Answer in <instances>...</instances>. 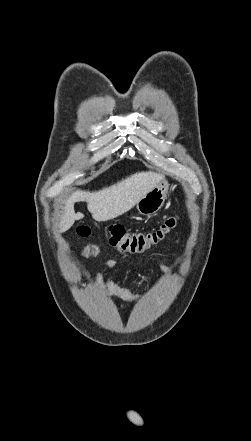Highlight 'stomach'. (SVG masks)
Masks as SVG:
<instances>
[{"label": "stomach", "instance_id": "0dacf381", "mask_svg": "<svg viewBox=\"0 0 251 441\" xmlns=\"http://www.w3.org/2000/svg\"><path fill=\"white\" fill-rule=\"evenodd\" d=\"M168 189V182L162 179L137 202L136 205L139 213L146 216L155 214L163 206L168 194Z\"/></svg>", "mask_w": 251, "mask_h": 441}]
</instances>
